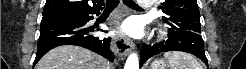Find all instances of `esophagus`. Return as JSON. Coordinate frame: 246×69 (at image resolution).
Segmentation results:
<instances>
[{"label": "esophagus", "mask_w": 246, "mask_h": 69, "mask_svg": "<svg viewBox=\"0 0 246 69\" xmlns=\"http://www.w3.org/2000/svg\"><path fill=\"white\" fill-rule=\"evenodd\" d=\"M133 48L134 44L125 35L118 34L112 36L111 50L116 55H126Z\"/></svg>", "instance_id": "obj_1"}]
</instances>
